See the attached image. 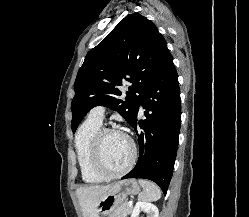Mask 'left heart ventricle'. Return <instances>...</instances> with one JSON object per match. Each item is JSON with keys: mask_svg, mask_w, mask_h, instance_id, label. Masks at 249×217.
Listing matches in <instances>:
<instances>
[{"mask_svg": "<svg viewBox=\"0 0 249 217\" xmlns=\"http://www.w3.org/2000/svg\"><path fill=\"white\" fill-rule=\"evenodd\" d=\"M131 156L130 145L120 133H108L102 140V159L105 167L112 172L123 169Z\"/></svg>", "mask_w": 249, "mask_h": 217, "instance_id": "obj_1", "label": "left heart ventricle"}]
</instances>
